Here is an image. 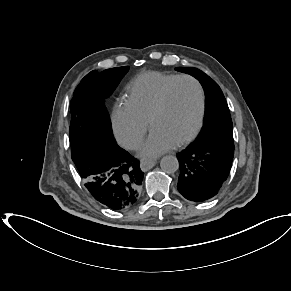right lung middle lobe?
Here are the masks:
<instances>
[{
	"mask_svg": "<svg viewBox=\"0 0 291 291\" xmlns=\"http://www.w3.org/2000/svg\"><path fill=\"white\" fill-rule=\"evenodd\" d=\"M128 68H111L100 74L91 71L77 86L70 105L69 140L73 160L96 145L117 144L105 99L112 94Z\"/></svg>",
	"mask_w": 291,
	"mask_h": 291,
	"instance_id": "dd1d6c3e",
	"label": "right lung middle lobe"
}]
</instances>
